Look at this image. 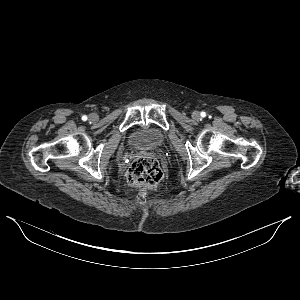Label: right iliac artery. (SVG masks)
Returning a JSON list of instances; mask_svg holds the SVG:
<instances>
[{"mask_svg":"<svg viewBox=\"0 0 300 300\" xmlns=\"http://www.w3.org/2000/svg\"><path fill=\"white\" fill-rule=\"evenodd\" d=\"M82 120H83V121H86V120H87V116H86V115H83V116H82Z\"/></svg>","mask_w":300,"mask_h":300,"instance_id":"right-iliac-artery-1","label":"right iliac artery"}]
</instances>
